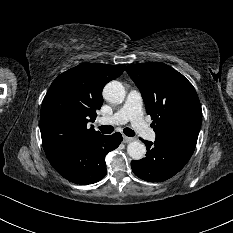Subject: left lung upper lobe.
<instances>
[{
	"label": "left lung upper lobe",
	"instance_id": "left-lung-upper-lobe-1",
	"mask_svg": "<svg viewBox=\"0 0 233 233\" xmlns=\"http://www.w3.org/2000/svg\"><path fill=\"white\" fill-rule=\"evenodd\" d=\"M126 71L142 94L156 139L187 140L196 144L202 109L192 84L163 63L132 64Z\"/></svg>",
	"mask_w": 233,
	"mask_h": 233
}]
</instances>
